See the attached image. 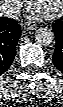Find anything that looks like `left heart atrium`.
Instances as JSON below:
<instances>
[{
    "instance_id": "1",
    "label": "left heart atrium",
    "mask_w": 63,
    "mask_h": 107,
    "mask_svg": "<svg viewBox=\"0 0 63 107\" xmlns=\"http://www.w3.org/2000/svg\"><path fill=\"white\" fill-rule=\"evenodd\" d=\"M44 14V11L38 9V8H33V11H32V15L34 17H40Z\"/></svg>"
}]
</instances>
